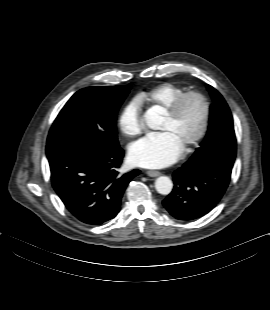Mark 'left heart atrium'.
<instances>
[{
	"mask_svg": "<svg viewBox=\"0 0 270 310\" xmlns=\"http://www.w3.org/2000/svg\"><path fill=\"white\" fill-rule=\"evenodd\" d=\"M183 149L168 133L147 135L132 144L128 158L131 164L146 168L159 169L174 163Z\"/></svg>",
	"mask_w": 270,
	"mask_h": 310,
	"instance_id": "1",
	"label": "left heart atrium"
}]
</instances>
